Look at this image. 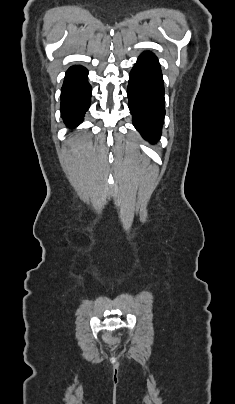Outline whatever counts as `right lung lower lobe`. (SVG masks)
<instances>
[{
  "label": "right lung lower lobe",
  "mask_w": 235,
  "mask_h": 404,
  "mask_svg": "<svg viewBox=\"0 0 235 404\" xmlns=\"http://www.w3.org/2000/svg\"><path fill=\"white\" fill-rule=\"evenodd\" d=\"M88 71L82 66L70 67L61 90V116L68 127H76L83 121L90 106L91 86Z\"/></svg>",
  "instance_id": "1"
}]
</instances>
